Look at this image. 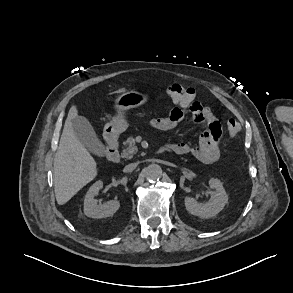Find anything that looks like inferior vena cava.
<instances>
[{"instance_id": "602c4592", "label": "inferior vena cava", "mask_w": 293, "mask_h": 293, "mask_svg": "<svg viewBox=\"0 0 293 293\" xmlns=\"http://www.w3.org/2000/svg\"><path fill=\"white\" fill-rule=\"evenodd\" d=\"M137 167V163H131L124 167V172H132Z\"/></svg>"}]
</instances>
